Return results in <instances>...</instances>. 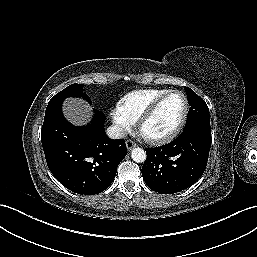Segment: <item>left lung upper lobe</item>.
Returning <instances> with one entry per match:
<instances>
[{
    "label": "left lung upper lobe",
    "mask_w": 257,
    "mask_h": 257,
    "mask_svg": "<svg viewBox=\"0 0 257 257\" xmlns=\"http://www.w3.org/2000/svg\"><path fill=\"white\" fill-rule=\"evenodd\" d=\"M190 105L184 130L193 127L211 129L209 109L205 101L189 87H184Z\"/></svg>",
    "instance_id": "obj_1"
}]
</instances>
